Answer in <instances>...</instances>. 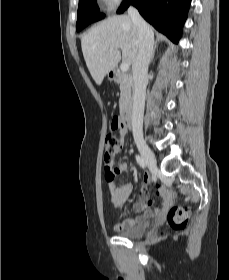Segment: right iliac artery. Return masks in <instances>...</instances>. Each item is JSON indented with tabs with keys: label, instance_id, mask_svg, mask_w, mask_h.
<instances>
[{
	"label": "right iliac artery",
	"instance_id": "right-iliac-artery-1",
	"mask_svg": "<svg viewBox=\"0 0 229 280\" xmlns=\"http://www.w3.org/2000/svg\"><path fill=\"white\" fill-rule=\"evenodd\" d=\"M136 161L141 168H143V169L146 168V162L142 157H140L139 155H136Z\"/></svg>",
	"mask_w": 229,
	"mask_h": 280
}]
</instances>
